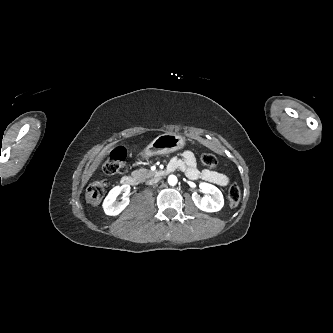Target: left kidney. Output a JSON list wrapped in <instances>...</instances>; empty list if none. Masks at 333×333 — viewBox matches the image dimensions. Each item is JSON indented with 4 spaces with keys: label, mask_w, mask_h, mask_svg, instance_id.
Returning a JSON list of instances; mask_svg holds the SVG:
<instances>
[{
    "label": "left kidney",
    "mask_w": 333,
    "mask_h": 333,
    "mask_svg": "<svg viewBox=\"0 0 333 333\" xmlns=\"http://www.w3.org/2000/svg\"><path fill=\"white\" fill-rule=\"evenodd\" d=\"M199 187L206 195L200 197L197 193H193L192 200L200 210L205 212H217L224 206L223 195L216 186L202 182Z\"/></svg>",
    "instance_id": "1"
}]
</instances>
